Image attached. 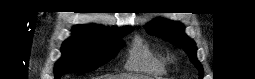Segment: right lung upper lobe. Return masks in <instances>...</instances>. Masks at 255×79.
<instances>
[{
  "instance_id": "right-lung-upper-lobe-1",
  "label": "right lung upper lobe",
  "mask_w": 255,
  "mask_h": 79,
  "mask_svg": "<svg viewBox=\"0 0 255 79\" xmlns=\"http://www.w3.org/2000/svg\"><path fill=\"white\" fill-rule=\"evenodd\" d=\"M123 29H125V28L107 29L104 27L94 26V25H79V26L74 27L73 34L116 39Z\"/></svg>"
}]
</instances>
